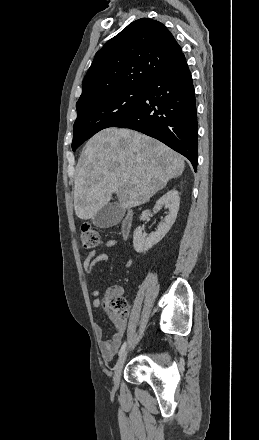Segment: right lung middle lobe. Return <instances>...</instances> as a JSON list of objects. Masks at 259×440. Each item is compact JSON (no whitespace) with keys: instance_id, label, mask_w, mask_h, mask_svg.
<instances>
[{"instance_id":"obj_1","label":"right lung middle lobe","mask_w":259,"mask_h":440,"mask_svg":"<svg viewBox=\"0 0 259 440\" xmlns=\"http://www.w3.org/2000/svg\"><path fill=\"white\" fill-rule=\"evenodd\" d=\"M147 88L123 89L77 108L72 149L75 151L95 133L114 126L140 104Z\"/></svg>"}]
</instances>
